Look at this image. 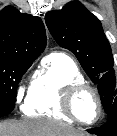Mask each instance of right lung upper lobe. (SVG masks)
Returning a JSON list of instances; mask_svg holds the SVG:
<instances>
[{"instance_id":"obj_1","label":"right lung upper lobe","mask_w":117,"mask_h":136,"mask_svg":"<svg viewBox=\"0 0 117 136\" xmlns=\"http://www.w3.org/2000/svg\"><path fill=\"white\" fill-rule=\"evenodd\" d=\"M45 46V27L39 17L11 6L0 12V57L36 60Z\"/></svg>"}]
</instances>
